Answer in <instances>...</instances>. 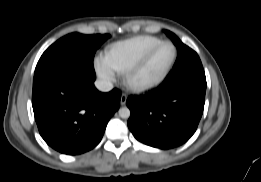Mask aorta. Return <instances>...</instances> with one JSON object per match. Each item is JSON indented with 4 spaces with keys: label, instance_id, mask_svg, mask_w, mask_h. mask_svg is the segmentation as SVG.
Wrapping results in <instances>:
<instances>
[{
    "label": "aorta",
    "instance_id": "762f6f07",
    "mask_svg": "<svg viewBox=\"0 0 261 182\" xmlns=\"http://www.w3.org/2000/svg\"><path fill=\"white\" fill-rule=\"evenodd\" d=\"M118 112H119V116L121 118L127 119V118L130 117V110H129L128 107H122V108L119 109Z\"/></svg>",
    "mask_w": 261,
    "mask_h": 182
}]
</instances>
